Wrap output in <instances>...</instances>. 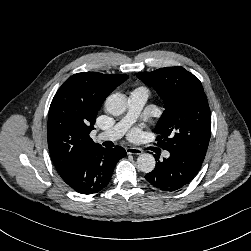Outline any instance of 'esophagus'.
I'll return each mask as SVG.
<instances>
[{
    "label": "esophagus",
    "instance_id": "esophagus-1",
    "mask_svg": "<svg viewBox=\"0 0 251 251\" xmlns=\"http://www.w3.org/2000/svg\"><path fill=\"white\" fill-rule=\"evenodd\" d=\"M126 152H127V154H131V155H140V154H142L143 151L139 148L128 147L126 149Z\"/></svg>",
    "mask_w": 251,
    "mask_h": 251
}]
</instances>
